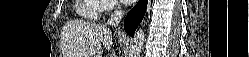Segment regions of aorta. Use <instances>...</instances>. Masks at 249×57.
<instances>
[{
	"label": "aorta",
	"instance_id": "aorta-1",
	"mask_svg": "<svg viewBox=\"0 0 249 57\" xmlns=\"http://www.w3.org/2000/svg\"><path fill=\"white\" fill-rule=\"evenodd\" d=\"M145 41V31L143 28H139L134 37L131 39V48L129 57H140Z\"/></svg>",
	"mask_w": 249,
	"mask_h": 57
}]
</instances>
